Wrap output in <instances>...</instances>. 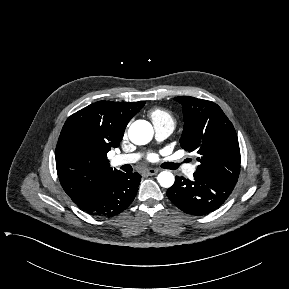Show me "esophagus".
Segmentation results:
<instances>
[{
    "mask_svg": "<svg viewBox=\"0 0 289 289\" xmlns=\"http://www.w3.org/2000/svg\"><path fill=\"white\" fill-rule=\"evenodd\" d=\"M159 172V170L158 169H154V168H150V169H147L146 171H145V173L147 174V175H156L157 173Z\"/></svg>",
    "mask_w": 289,
    "mask_h": 289,
    "instance_id": "1",
    "label": "esophagus"
}]
</instances>
